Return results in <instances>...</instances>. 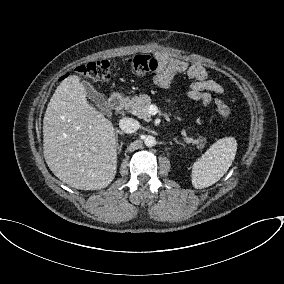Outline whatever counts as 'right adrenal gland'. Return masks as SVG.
<instances>
[{
    "label": "right adrenal gland",
    "instance_id": "right-adrenal-gland-1",
    "mask_svg": "<svg viewBox=\"0 0 284 284\" xmlns=\"http://www.w3.org/2000/svg\"><path fill=\"white\" fill-rule=\"evenodd\" d=\"M118 134L124 135V133L122 131H120L119 129H116V131H115V139H116L118 154H120L121 150H122L123 142H121L120 145H119V143H118Z\"/></svg>",
    "mask_w": 284,
    "mask_h": 284
}]
</instances>
